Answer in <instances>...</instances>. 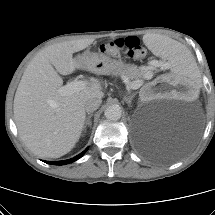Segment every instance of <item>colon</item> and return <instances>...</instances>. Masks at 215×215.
Listing matches in <instances>:
<instances>
[{"mask_svg": "<svg viewBox=\"0 0 215 215\" xmlns=\"http://www.w3.org/2000/svg\"><path fill=\"white\" fill-rule=\"evenodd\" d=\"M100 50L104 53L118 55L125 52L128 56L141 59L146 55V49L141 45L138 37L130 36L116 39L101 45Z\"/></svg>", "mask_w": 215, "mask_h": 215, "instance_id": "colon-1", "label": "colon"}]
</instances>
